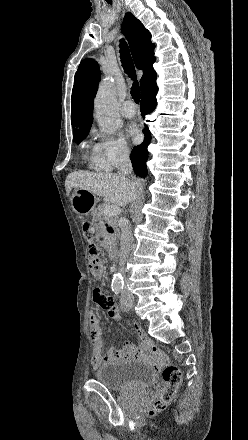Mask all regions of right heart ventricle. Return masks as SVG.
Wrapping results in <instances>:
<instances>
[{"instance_id":"obj_1","label":"right heart ventricle","mask_w":248,"mask_h":440,"mask_svg":"<svg viewBox=\"0 0 248 440\" xmlns=\"http://www.w3.org/2000/svg\"><path fill=\"white\" fill-rule=\"evenodd\" d=\"M89 160L91 161V163H92V165H93L94 168L100 169V168L96 165V163H95V160H94V154H92V155L89 156Z\"/></svg>"}]
</instances>
